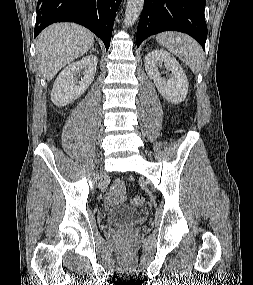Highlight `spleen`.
Listing matches in <instances>:
<instances>
[{
  "label": "spleen",
  "instance_id": "spleen-1",
  "mask_svg": "<svg viewBox=\"0 0 253 285\" xmlns=\"http://www.w3.org/2000/svg\"><path fill=\"white\" fill-rule=\"evenodd\" d=\"M156 40L188 65L193 73L199 72L204 63V54L201 46L190 36L177 32H164L158 34Z\"/></svg>",
  "mask_w": 253,
  "mask_h": 285
}]
</instances>
